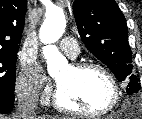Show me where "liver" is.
I'll list each match as a JSON object with an SVG mask.
<instances>
[{"mask_svg":"<svg viewBox=\"0 0 142 119\" xmlns=\"http://www.w3.org/2000/svg\"><path fill=\"white\" fill-rule=\"evenodd\" d=\"M0 119H11V118L0 115ZM36 119H65V118L64 117H52V116L42 115V116L36 117Z\"/></svg>","mask_w":142,"mask_h":119,"instance_id":"6515ba94","label":"liver"}]
</instances>
